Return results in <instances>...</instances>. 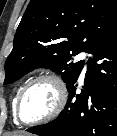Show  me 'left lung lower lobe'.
Listing matches in <instances>:
<instances>
[{"instance_id": "1", "label": "left lung lower lobe", "mask_w": 117, "mask_h": 136, "mask_svg": "<svg viewBox=\"0 0 117 136\" xmlns=\"http://www.w3.org/2000/svg\"><path fill=\"white\" fill-rule=\"evenodd\" d=\"M85 86L76 94V79L67 87L68 101L53 121L29 128L41 136H117V22L88 52ZM84 65V63H83Z\"/></svg>"}]
</instances>
